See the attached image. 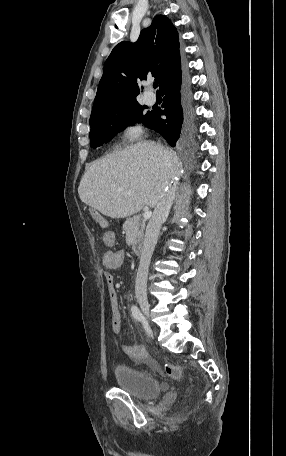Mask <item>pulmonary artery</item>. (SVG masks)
<instances>
[{"instance_id":"e3ab8cb5","label":"pulmonary artery","mask_w":286,"mask_h":456,"mask_svg":"<svg viewBox=\"0 0 286 456\" xmlns=\"http://www.w3.org/2000/svg\"><path fill=\"white\" fill-rule=\"evenodd\" d=\"M145 101H146V103L149 104V105L154 104L155 101H156V96H155V94H153V93H151V92L146 93V95H145Z\"/></svg>"}]
</instances>
